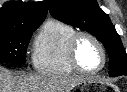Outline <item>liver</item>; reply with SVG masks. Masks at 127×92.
Masks as SVG:
<instances>
[{"label":"liver","instance_id":"6515ba94","mask_svg":"<svg viewBox=\"0 0 127 92\" xmlns=\"http://www.w3.org/2000/svg\"><path fill=\"white\" fill-rule=\"evenodd\" d=\"M81 77L14 75L0 67V92H69L82 83Z\"/></svg>","mask_w":127,"mask_h":92}]
</instances>
